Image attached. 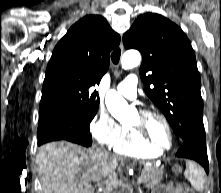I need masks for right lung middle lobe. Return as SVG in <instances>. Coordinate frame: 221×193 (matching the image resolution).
Segmentation results:
<instances>
[{
	"label": "right lung middle lobe",
	"mask_w": 221,
	"mask_h": 193,
	"mask_svg": "<svg viewBox=\"0 0 221 193\" xmlns=\"http://www.w3.org/2000/svg\"><path fill=\"white\" fill-rule=\"evenodd\" d=\"M98 107L74 108L51 107L40 109L38 123V145L54 140H68L84 146L91 145L89 124Z\"/></svg>",
	"instance_id": "1"
}]
</instances>
